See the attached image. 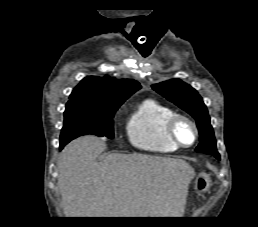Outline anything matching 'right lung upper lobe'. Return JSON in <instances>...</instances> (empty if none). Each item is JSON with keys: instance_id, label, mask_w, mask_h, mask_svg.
<instances>
[{"instance_id": "cb5924a9", "label": "right lung upper lobe", "mask_w": 258, "mask_h": 227, "mask_svg": "<svg viewBox=\"0 0 258 227\" xmlns=\"http://www.w3.org/2000/svg\"><path fill=\"white\" fill-rule=\"evenodd\" d=\"M135 80H114L108 76L84 78L72 91L68 103H78L96 107L123 104L133 93L140 89Z\"/></svg>"}]
</instances>
